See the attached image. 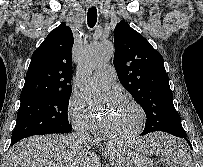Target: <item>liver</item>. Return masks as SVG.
<instances>
[{
	"instance_id": "6515ba94",
	"label": "liver",
	"mask_w": 203,
	"mask_h": 167,
	"mask_svg": "<svg viewBox=\"0 0 203 167\" xmlns=\"http://www.w3.org/2000/svg\"><path fill=\"white\" fill-rule=\"evenodd\" d=\"M102 154L114 165L125 153L120 146L102 148ZM6 167H100L91 145L78 144L73 135H37L23 139L10 148Z\"/></svg>"
}]
</instances>
